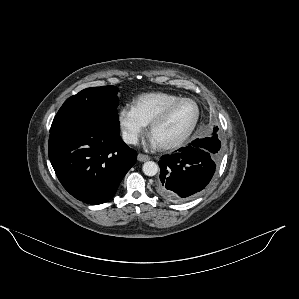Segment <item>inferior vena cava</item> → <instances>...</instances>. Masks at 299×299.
<instances>
[{"label": "inferior vena cava", "mask_w": 299, "mask_h": 299, "mask_svg": "<svg viewBox=\"0 0 299 299\" xmlns=\"http://www.w3.org/2000/svg\"><path fill=\"white\" fill-rule=\"evenodd\" d=\"M122 138L124 142L127 144H136L138 142L137 135L132 132H127V131L123 132Z\"/></svg>", "instance_id": "602c4592"}]
</instances>
